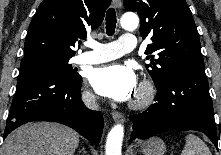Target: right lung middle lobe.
<instances>
[{
	"instance_id": "1",
	"label": "right lung middle lobe",
	"mask_w": 221,
	"mask_h": 155,
	"mask_svg": "<svg viewBox=\"0 0 221 155\" xmlns=\"http://www.w3.org/2000/svg\"><path fill=\"white\" fill-rule=\"evenodd\" d=\"M70 58L50 53L26 55L21 61L20 68L27 65L41 66L56 72L66 80H76L81 76L69 63Z\"/></svg>"
}]
</instances>
